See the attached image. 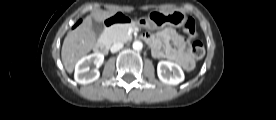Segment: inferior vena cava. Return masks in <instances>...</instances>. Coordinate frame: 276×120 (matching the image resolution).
<instances>
[{
    "instance_id": "602c4592",
    "label": "inferior vena cava",
    "mask_w": 276,
    "mask_h": 120,
    "mask_svg": "<svg viewBox=\"0 0 276 120\" xmlns=\"http://www.w3.org/2000/svg\"><path fill=\"white\" fill-rule=\"evenodd\" d=\"M123 48V43H121V42H118V43H115V44H113L112 46H111V52L112 53H115V52H117V51H119L120 49H122Z\"/></svg>"
}]
</instances>
